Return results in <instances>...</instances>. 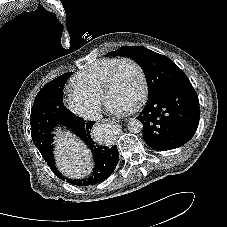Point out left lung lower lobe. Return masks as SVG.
<instances>
[{
    "label": "left lung lower lobe",
    "mask_w": 227,
    "mask_h": 227,
    "mask_svg": "<svg viewBox=\"0 0 227 227\" xmlns=\"http://www.w3.org/2000/svg\"><path fill=\"white\" fill-rule=\"evenodd\" d=\"M143 138L157 150L182 146L194 135L199 122L198 96L190 82L166 89L148 98L137 117Z\"/></svg>",
    "instance_id": "0a47b994"
}]
</instances>
